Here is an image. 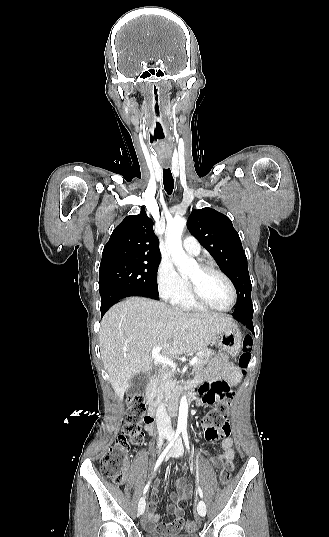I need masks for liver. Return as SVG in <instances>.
Wrapping results in <instances>:
<instances>
[{
  "label": "liver",
  "mask_w": 329,
  "mask_h": 537,
  "mask_svg": "<svg viewBox=\"0 0 329 537\" xmlns=\"http://www.w3.org/2000/svg\"><path fill=\"white\" fill-rule=\"evenodd\" d=\"M234 325L230 317L188 314L142 297L117 303L104 315L99 331L101 358L113 390L123 400L132 377L152 368L154 347L162 346L166 358L191 354Z\"/></svg>",
  "instance_id": "1"
}]
</instances>
